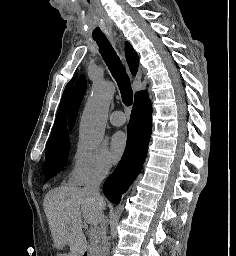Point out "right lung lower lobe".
<instances>
[{"label": "right lung lower lobe", "mask_w": 236, "mask_h": 256, "mask_svg": "<svg viewBox=\"0 0 236 256\" xmlns=\"http://www.w3.org/2000/svg\"><path fill=\"white\" fill-rule=\"evenodd\" d=\"M151 115L152 106L148 94L140 91L135 96L124 154L103 186L104 195L115 204H119L122 194L128 190L143 167L151 136Z\"/></svg>", "instance_id": "obj_1"}]
</instances>
